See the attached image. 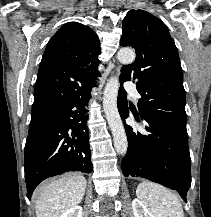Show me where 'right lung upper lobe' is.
<instances>
[{"label": "right lung upper lobe", "mask_w": 211, "mask_h": 217, "mask_svg": "<svg viewBox=\"0 0 211 217\" xmlns=\"http://www.w3.org/2000/svg\"><path fill=\"white\" fill-rule=\"evenodd\" d=\"M96 33L77 22L63 25L49 40L34 90L32 114L59 106L90 90L99 76Z\"/></svg>", "instance_id": "right-lung-upper-lobe-1"}]
</instances>
